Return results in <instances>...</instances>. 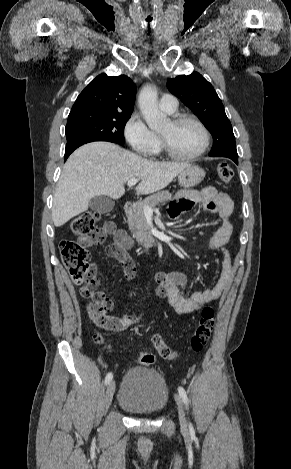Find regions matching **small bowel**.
Returning <instances> with one entry per match:
<instances>
[{
	"label": "small bowel",
	"instance_id": "obj_1",
	"mask_svg": "<svg viewBox=\"0 0 291 469\" xmlns=\"http://www.w3.org/2000/svg\"><path fill=\"white\" fill-rule=\"evenodd\" d=\"M196 203L202 204L206 211L217 214L221 220L220 225L213 231L208 240V247L223 251V269L219 280L212 287L195 291L190 295H185L183 292L187 285L185 273L181 271L158 272L155 275L157 284L155 293L158 297L167 298L178 314L191 313L218 299L231 279V256L227 249V244L233 232L231 223L233 212L232 200L228 195L211 186L200 191H181L177 199L170 204L169 215L173 219H178ZM100 231V238L93 244H101L108 235H113V244L117 245L128 257L126 250L132 246V240L123 230L117 229L114 223L108 222ZM113 257L121 261L118 256ZM139 318L138 314L112 317V326L109 330L115 332L123 331L137 322Z\"/></svg>",
	"mask_w": 291,
	"mask_h": 469
}]
</instances>
